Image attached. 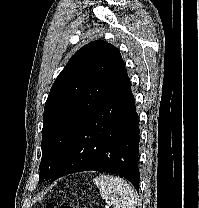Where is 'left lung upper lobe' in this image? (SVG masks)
Listing matches in <instances>:
<instances>
[{"label": "left lung upper lobe", "instance_id": "5c2ea615", "mask_svg": "<svg viewBox=\"0 0 199 208\" xmlns=\"http://www.w3.org/2000/svg\"><path fill=\"white\" fill-rule=\"evenodd\" d=\"M127 76L119 50L105 41L91 42L70 58L45 103L40 181L51 178L76 131Z\"/></svg>", "mask_w": 199, "mask_h": 208}]
</instances>
